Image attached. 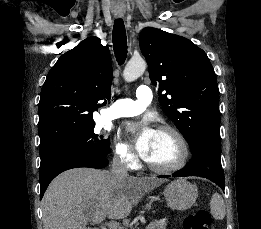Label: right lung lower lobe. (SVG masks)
<instances>
[{"label": "right lung lower lobe", "mask_w": 261, "mask_h": 229, "mask_svg": "<svg viewBox=\"0 0 261 229\" xmlns=\"http://www.w3.org/2000/svg\"><path fill=\"white\" fill-rule=\"evenodd\" d=\"M108 160L104 156H89L58 159L45 162L40 165L39 181H40V200L44 195L49 183L61 172L78 167L88 168H104L107 166Z\"/></svg>", "instance_id": "98d812e1"}]
</instances>
